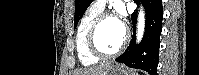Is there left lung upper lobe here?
Segmentation results:
<instances>
[{
  "mask_svg": "<svg viewBox=\"0 0 199 75\" xmlns=\"http://www.w3.org/2000/svg\"><path fill=\"white\" fill-rule=\"evenodd\" d=\"M93 0H75V16H74V24L75 27L77 23L85 13L86 9L89 7Z\"/></svg>",
  "mask_w": 199,
  "mask_h": 75,
  "instance_id": "obj_1",
  "label": "left lung upper lobe"
}]
</instances>
